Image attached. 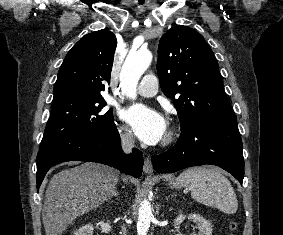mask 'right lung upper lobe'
<instances>
[{"label": "right lung upper lobe", "instance_id": "obj_1", "mask_svg": "<svg viewBox=\"0 0 283 235\" xmlns=\"http://www.w3.org/2000/svg\"><path fill=\"white\" fill-rule=\"evenodd\" d=\"M116 45L115 35L105 29L79 40L60 67L52 102L71 97L101 96L110 83Z\"/></svg>", "mask_w": 283, "mask_h": 235}]
</instances>
